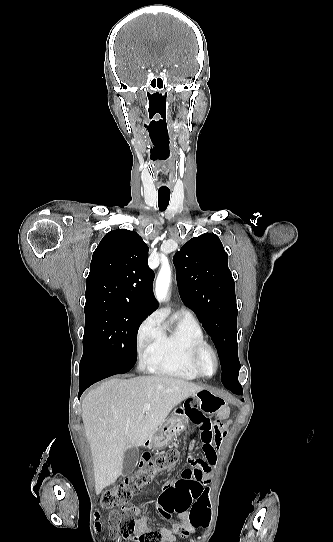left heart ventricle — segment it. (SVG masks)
Here are the masks:
<instances>
[{"label":"left heart ventricle","mask_w":333,"mask_h":542,"mask_svg":"<svg viewBox=\"0 0 333 542\" xmlns=\"http://www.w3.org/2000/svg\"><path fill=\"white\" fill-rule=\"evenodd\" d=\"M200 368L205 374H211L214 371V361L210 353H203L200 358Z\"/></svg>","instance_id":"obj_1"}]
</instances>
